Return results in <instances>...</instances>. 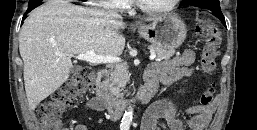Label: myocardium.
Returning a JSON list of instances; mask_svg holds the SVG:
<instances>
[{
  "label": "myocardium",
  "instance_id": "myocardium-1",
  "mask_svg": "<svg viewBox=\"0 0 257 130\" xmlns=\"http://www.w3.org/2000/svg\"><path fill=\"white\" fill-rule=\"evenodd\" d=\"M180 2V0H171L168 4L161 6V7H147L145 6L140 0H135V3L137 7L148 14H161V13H166L174 9L177 4Z\"/></svg>",
  "mask_w": 257,
  "mask_h": 130
}]
</instances>
